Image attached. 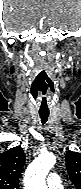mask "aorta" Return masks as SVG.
Here are the masks:
<instances>
[{
    "label": "aorta",
    "instance_id": "1",
    "mask_svg": "<svg viewBox=\"0 0 81 189\" xmlns=\"http://www.w3.org/2000/svg\"><path fill=\"white\" fill-rule=\"evenodd\" d=\"M55 163L56 157L49 153L34 159L25 171L24 189H47L45 178Z\"/></svg>",
    "mask_w": 81,
    "mask_h": 189
}]
</instances>
